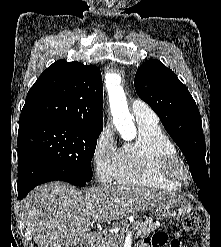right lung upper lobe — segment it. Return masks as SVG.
Here are the masks:
<instances>
[{
    "label": "right lung upper lobe",
    "mask_w": 221,
    "mask_h": 247,
    "mask_svg": "<svg viewBox=\"0 0 221 247\" xmlns=\"http://www.w3.org/2000/svg\"><path fill=\"white\" fill-rule=\"evenodd\" d=\"M103 85L100 69L80 62L58 60L29 90L19 129L75 124L101 132Z\"/></svg>",
    "instance_id": "1"
}]
</instances>
